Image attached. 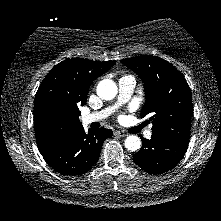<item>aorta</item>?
Instances as JSON below:
<instances>
[{
  "label": "aorta",
  "mask_w": 221,
  "mask_h": 221,
  "mask_svg": "<svg viewBox=\"0 0 221 221\" xmlns=\"http://www.w3.org/2000/svg\"><path fill=\"white\" fill-rule=\"evenodd\" d=\"M97 95L103 100H111L118 93L117 85L113 80L104 79L97 86ZM125 147L129 151H137L141 147V140L138 136L131 135L125 139Z\"/></svg>",
  "instance_id": "762f6f07"
}]
</instances>
